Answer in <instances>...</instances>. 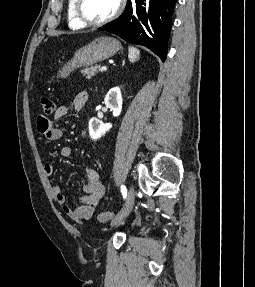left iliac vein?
Segmentation results:
<instances>
[{"label":"left iliac vein","instance_id":"4c4485c4","mask_svg":"<svg viewBox=\"0 0 255 287\" xmlns=\"http://www.w3.org/2000/svg\"><path fill=\"white\" fill-rule=\"evenodd\" d=\"M134 201H135V191L133 187H130L123 208L111 222L112 226L118 225L130 214L134 206Z\"/></svg>","mask_w":255,"mask_h":287}]
</instances>
